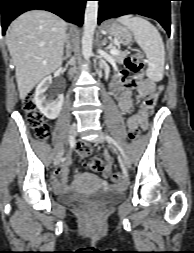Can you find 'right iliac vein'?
<instances>
[{"instance_id":"obj_1","label":"right iliac vein","mask_w":194,"mask_h":253,"mask_svg":"<svg viewBox=\"0 0 194 253\" xmlns=\"http://www.w3.org/2000/svg\"><path fill=\"white\" fill-rule=\"evenodd\" d=\"M77 134V125L76 123H72L69 128V137H75ZM63 151L59 152L54 159V165L58 166L62 160Z\"/></svg>"}]
</instances>
